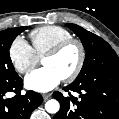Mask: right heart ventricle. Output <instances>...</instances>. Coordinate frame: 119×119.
<instances>
[{
	"label": "right heart ventricle",
	"mask_w": 119,
	"mask_h": 119,
	"mask_svg": "<svg viewBox=\"0 0 119 119\" xmlns=\"http://www.w3.org/2000/svg\"><path fill=\"white\" fill-rule=\"evenodd\" d=\"M72 34L67 29L57 25H46L34 29L30 33L32 48L39 58L60 42L72 38Z\"/></svg>",
	"instance_id": "1"
}]
</instances>
